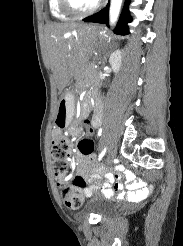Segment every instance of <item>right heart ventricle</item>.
Wrapping results in <instances>:
<instances>
[{"mask_svg": "<svg viewBox=\"0 0 183 246\" xmlns=\"http://www.w3.org/2000/svg\"><path fill=\"white\" fill-rule=\"evenodd\" d=\"M48 4L50 13L54 18L59 20H67L70 18V16L61 9L59 0H49Z\"/></svg>", "mask_w": 183, "mask_h": 246, "instance_id": "e07e8e85", "label": "right heart ventricle"}]
</instances>
